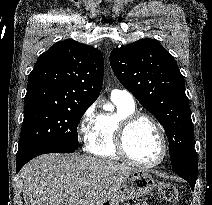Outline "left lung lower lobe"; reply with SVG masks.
<instances>
[{"label": "left lung lower lobe", "instance_id": "obj_1", "mask_svg": "<svg viewBox=\"0 0 212 205\" xmlns=\"http://www.w3.org/2000/svg\"><path fill=\"white\" fill-rule=\"evenodd\" d=\"M197 167L188 165L180 168L173 167L172 170L177 175L185 179L190 184L191 189L193 190L197 179Z\"/></svg>", "mask_w": 212, "mask_h": 205}]
</instances>
